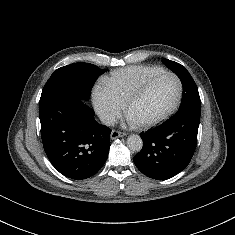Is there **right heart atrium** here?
Instances as JSON below:
<instances>
[{"instance_id": "d8ad5b80", "label": "right heart atrium", "mask_w": 235, "mask_h": 235, "mask_svg": "<svg viewBox=\"0 0 235 235\" xmlns=\"http://www.w3.org/2000/svg\"><path fill=\"white\" fill-rule=\"evenodd\" d=\"M92 102L96 113L106 124L113 123L124 109V103L105 84L93 88Z\"/></svg>"}]
</instances>
